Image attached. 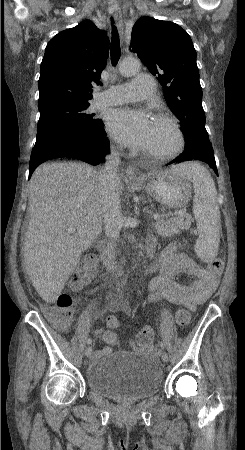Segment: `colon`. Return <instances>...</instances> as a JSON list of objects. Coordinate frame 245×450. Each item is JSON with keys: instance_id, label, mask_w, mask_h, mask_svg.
Segmentation results:
<instances>
[{"instance_id": "5ec220e1", "label": "colon", "mask_w": 245, "mask_h": 450, "mask_svg": "<svg viewBox=\"0 0 245 450\" xmlns=\"http://www.w3.org/2000/svg\"><path fill=\"white\" fill-rule=\"evenodd\" d=\"M223 268V262L220 258L213 259L210 263V270L215 273L221 272ZM96 275V262L95 258L91 254L85 255L83 260L79 263L78 267L67 281V288L70 291H74L78 288V283L82 278L94 279ZM72 299L67 294H61L58 296L55 304L48 307L46 311L47 318L56 325L60 330H66L72 325V316L70 312V305ZM190 312L184 304H180L175 312L176 322L185 326L190 321ZM107 326H114L117 323V319L108 317L106 320ZM154 338V332L151 327H144L136 335V342L138 345L147 346L150 345ZM103 339L107 344L116 345L119 342L118 336L111 330L105 331Z\"/></svg>"}]
</instances>
